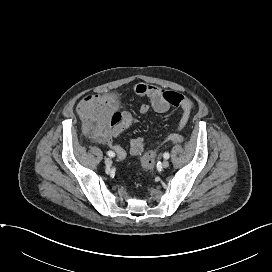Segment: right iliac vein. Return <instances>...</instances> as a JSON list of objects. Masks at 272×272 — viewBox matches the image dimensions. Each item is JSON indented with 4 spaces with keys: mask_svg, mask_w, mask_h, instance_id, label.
Segmentation results:
<instances>
[{
    "mask_svg": "<svg viewBox=\"0 0 272 272\" xmlns=\"http://www.w3.org/2000/svg\"><path fill=\"white\" fill-rule=\"evenodd\" d=\"M105 164H106V166H111L112 165L111 158H109V157L105 158Z\"/></svg>",
    "mask_w": 272,
    "mask_h": 272,
    "instance_id": "right-iliac-vein-1",
    "label": "right iliac vein"
}]
</instances>
